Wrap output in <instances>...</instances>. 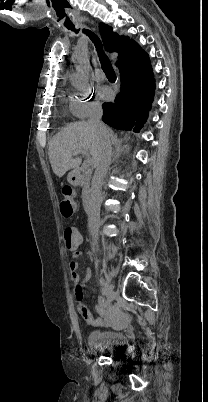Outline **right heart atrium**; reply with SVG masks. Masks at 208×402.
Listing matches in <instances>:
<instances>
[{
    "instance_id": "obj_1",
    "label": "right heart atrium",
    "mask_w": 208,
    "mask_h": 402,
    "mask_svg": "<svg viewBox=\"0 0 208 402\" xmlns=\"http://www.w3.org/2000/svg\"><path fill=\"white\" fill-rule=\"evenodd\" d=\"M101 109V102L92 86L76 90L72 110L79 119H85Z\"/></svg>"
}]
</instances>
